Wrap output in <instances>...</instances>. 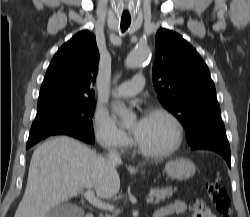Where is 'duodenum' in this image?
<instances>
[{"mask_svg":"<svg viewBox=\"0 0 250 217\" xmlns=\"http://www.w3.org/2000/svg\"><path fill=\"white\" fill-rule=\"evenodd\" d=\"M85 217H94V215L92 213H87ZM152 217H160L159 212H155Z\"/></svg>","mask_w":250,"mask_h":217,"instance_id":"duodenum-1","label":"duodenum"}]
</instances>
